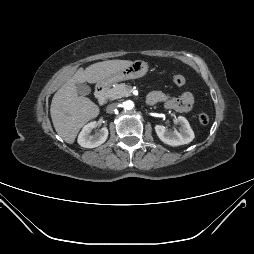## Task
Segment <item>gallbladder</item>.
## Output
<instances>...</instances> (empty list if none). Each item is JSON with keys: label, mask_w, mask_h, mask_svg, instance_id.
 <instances>
[{"label": "gallbladder", "mask_w": 254, "mask_h": 254, "mask_svg": "<svg viewBox=\"0 0 254 254\" xmlns=\"http://www.w3.org/2000/svg\"><path fill=\"white\" fill-rule=\"evenodd\" d=\"M76 88H77V93L79 95L85 96L91 93V88L85 83H78L76 85Z\"/></svg>", "instance_id": "gallbladder-1"}]
</instances>
